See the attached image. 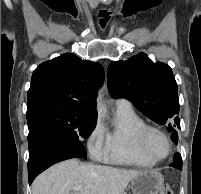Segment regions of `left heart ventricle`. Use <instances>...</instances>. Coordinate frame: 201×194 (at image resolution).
Masks as SVG:
<instances>
[{
  "mask_svg": "<svg viewBox=\"0 0 201 194\" xmlns=\"http://www.w3.org/2000/svg\"><path fill=\"white\" fill-rule=\"evenodd\" d=\"M149 153L156 158L166 155L168 146L166 140L157 132H150L146 142Z\"/></svg>",
  "mask_w": 201,
  "mask_h": 194,
  "instance_id": "obj_1",
  "label": "left heart ventricle"
}]
</instances>
